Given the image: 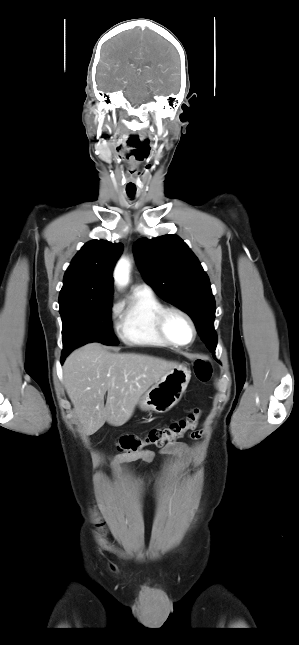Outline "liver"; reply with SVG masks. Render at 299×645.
<instances>
[{"mask_svg":"<svg viewBox=\"0 0 299 645\" xmlns=\"http://www.w3.org/2000/svg\"><path fill=\"white\" fill-rule=\"evenodd\" d=\"M177 366L148 355L111 353L100 343L74 350L64 362L63 376L83 432L92 435L105 422L125 424L141 396Z\"/></svg>","mask_w":299,"mask_h":645,"instance_id":"6515ba94","label":"liver"}]
</instances>
